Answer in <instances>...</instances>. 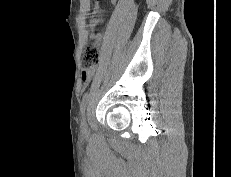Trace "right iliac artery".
<instances>
[{"mask_svg":"<svg viewBox=\"0 0 231 177\" xmlns=\"http://www.w3.org/2000/svg\"><path fill=\"white\" fill-rule=\"evenodd\" d=\"M88 100H89V94L86 93L82 98V102H81V106H80V111H81L82 114L85 111Z\"/></svg>","mask_w":231,"mask_h":177,"instance_id":"obj_1","label":"right iliac artery"}]
</instances>
